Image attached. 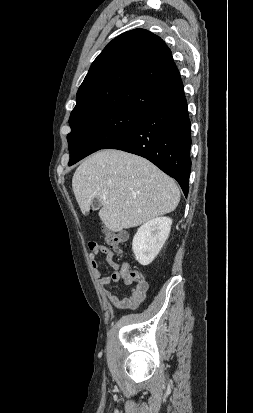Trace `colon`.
<instances>
[{"instance_id": "obj_1", "label": "colon", "mask_w": 253, "mask_h": 413, "mask_svg": "<svg viewBox=\"0 0 253 413\" xmlns=\"http://www.w3.org/2000/svg\"><path fill=\"white\" fill-rule=\"evenodd\" d=\"M103 239L110 248L119 251L121 245L126 240V235L124 233L114 232L108 228H103ZM126 272L136 281H145V277L142 273L130 269L129 266L127 267Z\"/></svg>"}]
</instances>
